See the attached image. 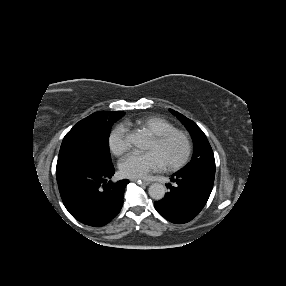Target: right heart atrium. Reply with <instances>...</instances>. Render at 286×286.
I'll return each instance as SVG.
<instances>
[{
    "label": "right heart atrium",
    "instance_id": "1",
    "mask_svg": "<svg viewBox=\"0 0 286 286\" xmlns=\"http://www.w3.org/2000/svg\"><path fill=\"white\" fill-rule=\"evenodd\" d=\"M107 143L112 154L121 156L126 153L131 147L126 127L123 125L113 127L108 134Z\"/></svg>",
    "mask_w": 286,
    "mask_h": 286
}]
</instances>
